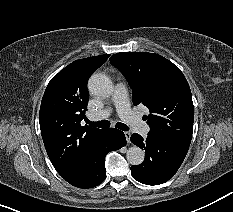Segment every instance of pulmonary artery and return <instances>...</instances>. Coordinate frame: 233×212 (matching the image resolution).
<instances>
[{
    "label": "pulmonary artery",
    "instance_id": "1",
    "mask_svg": "<svg viewBox=\"0 0 233 212\" xmlns=\"http://www.w3.org/2000/svg\"><path fill=\"white\" fill-rule=\"evenodd\" d=\"M112 101L116 107V110L120 118L130 125L136 132L141 135H147L150 131V127L141 120V118L136 115L130 108V103L128 99V93L126 86L122 83H118L115 87ZM110 115L109 109H104L98 113L91 114L89 116L90 120L96 121L104 119Z\"/></svg>",
    "mask_w": 233,
    "mask_h": 212
}]
</instances>
